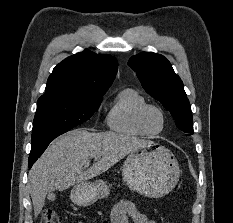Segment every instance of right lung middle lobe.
I'll list each match as a JSON object with an SVG mask.
<instances>
[{"instance_id": "dd1d6c3e", "label": "right lung middle lobe", "mask_w": 233, "mask_h": 223, "mask_svg": "<svg viewBox=\"0 0 233 223\" xmlns=\"http://www.w3.org/2000/svg\"><path fill=\"white\" fill-rule=\"evenodd\" d=\"M100 103L101 97L41 96L37 101L33 122L30 155L43 153L57 136L89 120L98 110Z\"/></svg>"}]
</instances>
